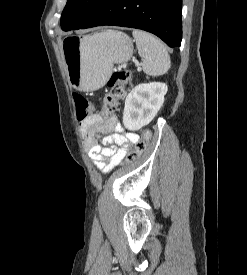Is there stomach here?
Instances as JSON below:
<instances>
[{"label":"stomach","instance_id":"0dacf381","mask_svg":"<svg viewBox=\"0 0 247 275\" xmlns=\"http://www.w3.org/2000/svg\"><path fill=\"white\" fill-rule=\"evenodd\" d=\"M96 35L62 41L68 82L74 89H99L111 76L114 64L127 62L133 54V42L125 33L106 30Z\"/></svg>","mask_w":247,"mask_h":275}]
</instances>
